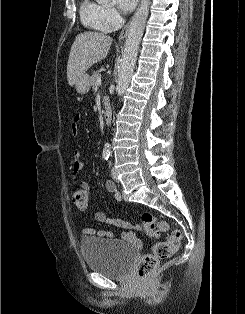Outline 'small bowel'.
<instances>
[{
    "label": "small bowel",
    "mask_w": 245,
    "mask_h": 314,
    "mask_svg": "<svg viewBox=\"0 0 245 314\" xmlns=\"http://www.w3.org/2000/svg\"><path fill=\"white\" fill-rule=\"evenodd\" d=\"M81 117L79 114L75 115L74 121L72 123L71 130L74 135L78 133V123L80 121ZM81 163H82V153L78 150L74 151L73 158H72V164H71V180L73 183L79 185L82 189L90 191V184L84 180H81L80 178V171H81ZM105 188L108 192H111L114 194V198L117 201H122L121 194L117 191L116 185L111 181H106ZM94 220L99 223H106L110 225H115L117 227H121L125 229V231L121 235V239L124 242H127L134 246H140L142 244V241L140 238L136 236V234L133 232L132 228L133 226L130 224V222L123 220V219H112L108 218L105 213L103 212H96L93 216ZM83 234L86 236L90 235H97L99 237H107V238H114V234L111 231L107 230H99L95 231L93 228L86 227L83 230Z\"/></svg>",
    "instance_id": "1"
}]
</instances>
